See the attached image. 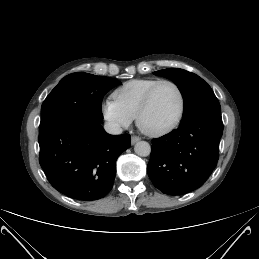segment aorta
<instances>
[{"mask_svg":"<svg viewBox=\"0 0 259 259\" xmlns=\"http://www.w3.org/2000/svg\"><path fill=\"white\" fill-rule=\"evenodd\" d=\"M134 151L137 155L141 157H147L148 155H150L151 146L146 141H139L135 144Z\"/></svg>","mask_w":259,"mask_h":259,"instance_id":"1","label":"aorta"}]
</instances>
